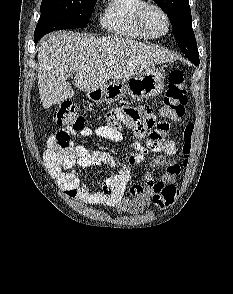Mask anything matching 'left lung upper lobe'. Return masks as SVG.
Returning <instances> with one entry per match:
<instances>
[{
	"label": "left lung upper lobe",
	"mask_w": 233,
	"mask_h": 294,
	"mask_svg": "<svg viewBox=\"0 0 233 294\" xmlns=\"http://www.w3.org/2000/svg\"><path fill=\"white\" fill-rule=\"evenodd\" d=\"M167 14L174 27V35L185 56L196 66L199 65V53L192 29L191 10L188 0H154Z\"/></svg>",
	"instance_id": "left-lung-upper-lobe-1"
}]
</instances>
